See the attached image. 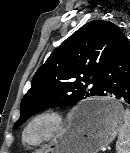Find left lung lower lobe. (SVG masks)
I'll list each match as a JSON object with an SVG mask.
<instances>
[{
  "mask_svg": "<svg viewBox=\"0 0 130 153\" xmlns=\"http://www.w3.org/2000/svg\"><path fill=\"white\" fill-rule=\"evenodd\" d=\"M98 96L113 95L130 104V43L122 34L106 61L99 77ZM95 114L94 109L84 108L77 113L79 120Z\"/></svg>",
  "mask_w": 130,
  "mask_h": 153,
  "instance_id": "left-lung-lower-lobe-1",
  "label": "left lung lower lobe"
}]
</instances>
